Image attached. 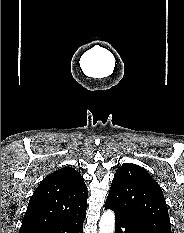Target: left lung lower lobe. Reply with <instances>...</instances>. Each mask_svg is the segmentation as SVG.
Wrapping results in <instances>:
<instances>
[{
	"mask_svg": "<svg viewBox=\"0 0 184 233\" xmlns=\"http://www.w3.org/2000/svg\"><path fill=\"white\" fill-rule=\"evenodd\" d=\"M105 208L111 209L115 213V217H116L115 233H144L125 214L118 211L110 203L106 202Z\"/></svg>",
	"mask_w": 184,
	"mask_h": 233,
	"instance_id": "1",
	"label": "left lung lower lobe"
}]
</instances>
